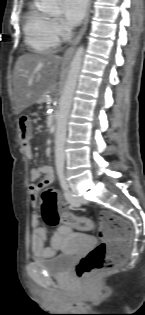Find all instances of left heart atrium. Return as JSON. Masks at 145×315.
Wrapping results in <instances>:
<instances>
[{
	"mask_svg": "<svg viewBox=\"0 0 145 315\" xmlns=\"http://www.w3.org/2000/svg\"><path fill=\"white\" fill-rule=\"evenodd\" d=\"M64 21L69 26L78 25L86 11L87 0H62Z\"/></svg>",
	"mask_w": 145,
	"mask_h": 315,
	"instance_id": "obj_1",
	"label": "left heart atrium"
}]
</instances>
